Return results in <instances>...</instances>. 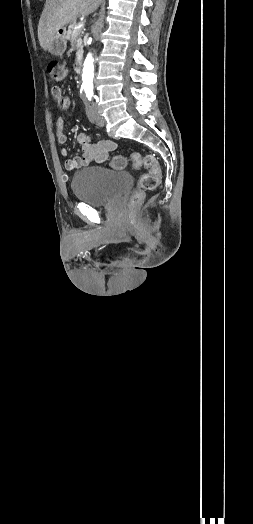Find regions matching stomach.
Segmentation results:
<instances>
[{
	"label": "stomach",
	"mask_w": 253,
	"mask_h": 524,
	"mask_svg": "<svg viewBox=\"0 0 253 524\" xmlns=\"http://www.w3.org/2000/svg\"><path fill=\"white\" fill-rule=\"evenodd\" d=\"M67 47L66 32L64 29H59L53 36L48 51L55 56H61L65 52Z\"/></svg>",
	"instance_id": "stomach-1"
}]
</instances>
